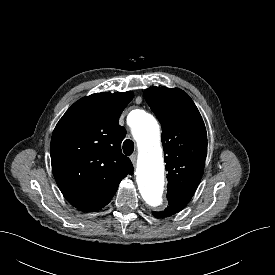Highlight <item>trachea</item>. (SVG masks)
I'll return each mask as SVG.
<instances>
[{"instance_id":"3493384b","label":"trachea","mask_w":275,"mask_h":275,"mask_svg":"<svg viewBox=\"0 0 275 275\" xmlns=\"http://www.w3.org/2000/svg\"><path fill=\"white\" fill-rule=\"evenodd\" d=\"M134 151V143L132 140H125L123 143V152L127 155L130 156Z\"/></svg>"}]
</instances>
